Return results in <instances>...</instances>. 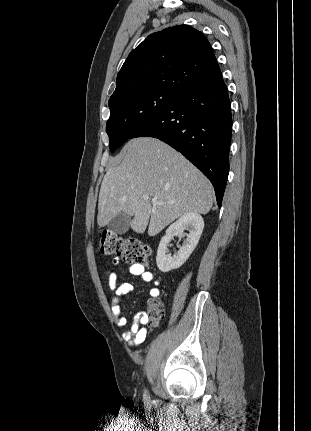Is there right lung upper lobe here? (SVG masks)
<instances>
[{"mask_svg": "<svg viewBox=\"0 0 311 431\" xmlns=\"http://www.w3.org/2000/svg\"><path fill=\"white\" fill-rule=\"evenodd\" d=\"M219 75L207 38L190 26H174L149 35L129 54L111 98L140 90L180 94Z\"/></svg>", "mask_w": 311, "mask_h": 431, "instance_id": "obj_1", "label": "right lung upper lobe"}]
</instances>
